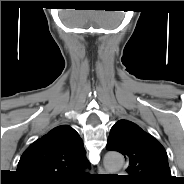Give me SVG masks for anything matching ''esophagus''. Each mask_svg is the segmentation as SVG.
Instances as JSON below:
<instances>
[{"label":"esophagus","instance_id":"obj_1","mask_svg":"<svg viewBox=\"0 0 184 184\" xmlns=\"http://www.w3.org/2000/svg\"><path fill=\"white\" fill-rule=\"evenodd\" d=\"M101 172H104V169H100Z\"/></svg>","mask_w":184,"mask_h":184}]
</instances>
